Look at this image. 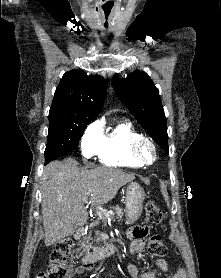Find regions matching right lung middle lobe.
<instances>
[{
  "label": "right lung middle lobe",
  "mask_w": 221,
  "mask_h": 278,
  "mask_svg": "<svg viewBox=\"0 0 221 278\" xmlns=\"http://www.w3.org/2000/svg\"><path fill=\"white\" fill-rule=\"evenodd\" d=\"M89 123L86 118L69 119L62 116H49L45 161L50 162L75 149L85 126Z\"/></svg>",
  "instance_id": "obj_1"
}]
</instances>
